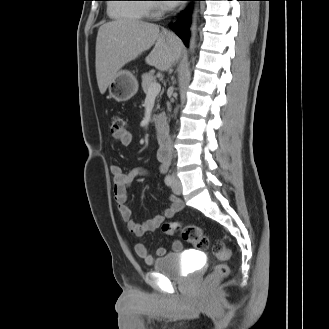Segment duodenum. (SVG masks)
I'll list each match as a JSON object with an SVG mask.
<instances>
[{"label":"duodenum","instance_id":"410a0bca","mask_svg":"<svg viewBox=\"0 0 329 329\" xmlns=\"http://www.w3.org/2000/svg\"><path fill=\"white\" fill-rule=\"evenodd\" d=\"M153 129L158 137V139L166 143L168 139V134H167V127H166V120L165 117L162 115L157 116L153 123H152Z\"/></svg>","mask_w":329,"mask_h":329}]
</instances>
